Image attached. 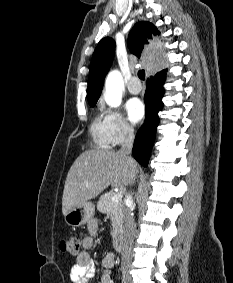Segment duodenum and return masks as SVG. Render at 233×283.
<instances>
[{
    "label": "duodenum",
    "instance_id": "duodenum-1",
    "mask_svg": "<svg viewBox=\"0 0 233 283\" xmlns=\"http://www.w3.org/2000/svg\"><path fill=\"white\" fill-rule=\"evenodd\" d=\"M115 246L118 251L122 248V238L119 235L115 239Z\"/></svg>",
    "mask_w": 233,
    "mask_h": 283
}]
</instances>
